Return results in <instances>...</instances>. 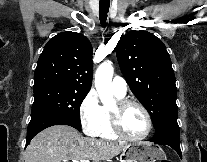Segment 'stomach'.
<instances>
[{
    "instance_id": "0dacf381",
    "label": "stomach",
    "mask_w": 207,
    "mask_h": 162,
    "mask_svg": "<svg viewBox=\"0 0 207 162\" xmlns=\"http://www.w3.org/2000/svg\"><path fill=\"white\" fill-rule=\"evenodd\" d=\"M166 160L164 151L149 142L130 144L121 154V162H156Z\"/></svg>"
}]
</instances>
